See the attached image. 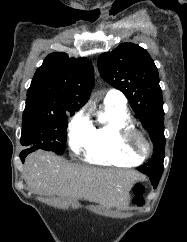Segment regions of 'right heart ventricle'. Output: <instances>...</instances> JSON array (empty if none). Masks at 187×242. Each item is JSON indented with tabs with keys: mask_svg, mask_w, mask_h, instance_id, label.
Returning a JSON list of instances; mask_svg holds the SVG:
<instances>
[{
	"mask_svg": "<svg viewBox=\"0 0 187 242\" xmlns=\"http://www.w3.org/2000/svg\"><path fill=\"white\" fill-rule=\"evenodd\" d=\"M125 126H134L126 105L104 103L90 122V137L82 149L84 160L101 166L139 165L142 161L127 154L120 144V130Z\"/></svg>",
	"mask_w": 187,
	"mask_h": 242,
	"instance_id": "obj_1",
	"label": "right heart ventricle"
}]
</instances>
